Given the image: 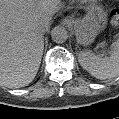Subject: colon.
I'll use <instances>...</instances> for the list:
<instances>
[{
  "label": "colon",
  "mask_w": 119,
  "mask_h": 119,
  "mask_svg": "<svg viewBox=\"0 0 119 119\" xmlns=\"http://www.w3.org/2000/svg\"><path fill=\"white\" fill-rule=\"evenodd\" d=\"M110 18H111V23L113 25H118L119 24V8H114L110 12Z\"/></svg>",
  "instance_id": "colon-1"
}]
</instances>
